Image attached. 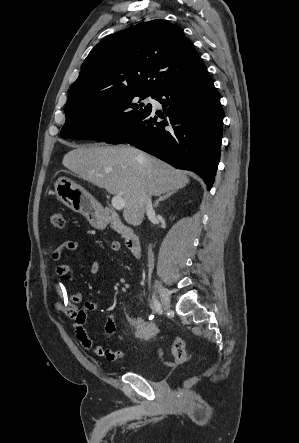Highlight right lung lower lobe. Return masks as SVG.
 <instances>
[{
	"mask_svg": "<svg viewBox=\"0 0 299 443\" xmlns=\"http://www.w3.org/2000/svg\"><path fill=\"white\" fill-rule=\"evenodd\" d=\"M153 98L162 104L163 113L151 108L105 142L129 143L177 168L196 172L210 190L219 163L223 114L208 71L204 68L173 81Z\"/></svg>",
	"mask_w": 299,
	"mask_h": 443,
	"instance_id": "obj_1",
	"label": "right lung lower lobe"
}]
</instances>
